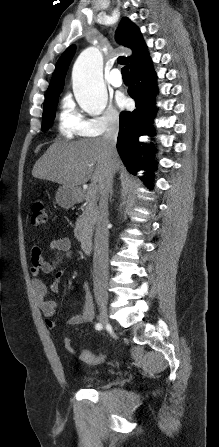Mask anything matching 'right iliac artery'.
<instances>
[{
	"label": "right iliac artery",
	"mask_w": 219,
	"mask_h": 447,
	"mask_svg": "<svg viewBox=\"0 0 219 447\" xmlns=\"http://www.w3.org/2000/svg\"><path fill=\"white\" fill-rule=\"evenodd\" d=\"M95 328H96L97 330H99V329L102 328V326H101V324L97 323V324L95 325Z\"/></svg>",
	"instance_id": "obj_1"
}]
</instances>
